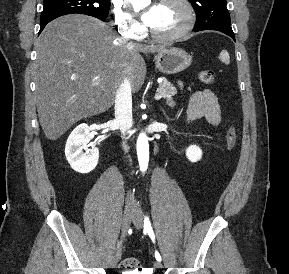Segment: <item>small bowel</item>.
Wrapping results in <instances>:
<instances>
[{"instance_id": "obj_1", "label": "small bowel", "mask_w": 289, "mask_h": 274, "mask_svg": "<svg viewBox=\"0 0 289 274\" xmlns=\"http://www.w3.org/2000/svg\"><path fill=\"white\" fill-rule=\"evenodd\" d=\"M188 100V122L205 118L212 125L221 121V111L214 92L203 89L190 94Z\"/></svg>"}]
</instances>
